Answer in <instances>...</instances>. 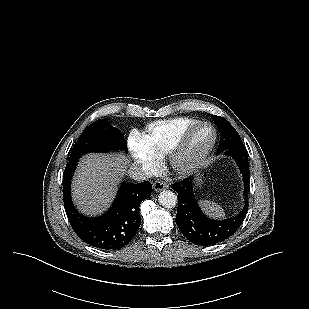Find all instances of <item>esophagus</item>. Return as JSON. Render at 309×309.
<instances>
[{
  "label": "esophagus",
  "mask_w": 309,
  "mask_h": 309,
  "mask_svg": "<svg viewBox=\"0 0 309 309\" xmlns=\"http://www.w3.org/2000/svg\"><path fill=\"white\" fill-rule=\"evenodd\" d=\"M168 187L167 183L163 182V181H156L153 184V189L156 192L162 191L164 189H166Z\"/></svg>",
  "instance_id": "1"
}]
</instances>
